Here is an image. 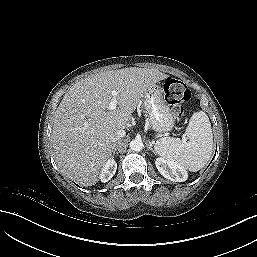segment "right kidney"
Listing matches in <instances>:
<instances>
[{
  "label": "right kidney",
  "instance_id": "obj_1",
  "mask_svg": "<svg viewBox=\"0 0 257 257\" xmlns=\"http://www.w3.org/2000/svg\"><path fill=\"white\" fill-rule=\"evenodd\" d=\"M117 169V163L114 159H109L102 167L99 178L102 182H108Z\"/></svg>",
  "mask_w": 257,
  "mask_h": 257
}]
</instances>
